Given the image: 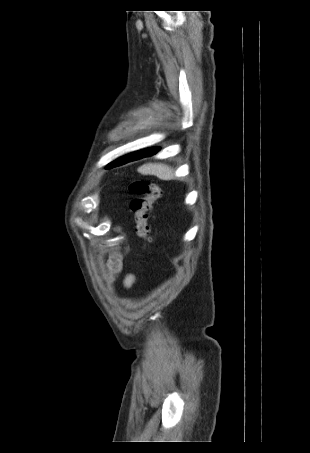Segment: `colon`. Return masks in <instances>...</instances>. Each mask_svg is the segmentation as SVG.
<instances>
[{
  "label": "colon",
  "instance_id": "colon-1",
  "mask_svg": "<svg viewBox=\"0 0 310 453\" xmlns=\"http://www.w3.org/2000/svg\"><path fill=\"white\" fill-rule=\"evenodd\" d=\"M129 190L133 195L131 209L134 214V230L144 242L151 240L149 219L154 205L162 197V191L157 184L146 179L134 180Z\"/></svg>",
  "mask_w": 310,
  "mask_h": 453
}]
</instances>
